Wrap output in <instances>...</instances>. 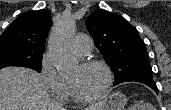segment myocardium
I'll return each mask as SVG.
<instances>
[{"label": "myocardium", "instance_id": "myocardium-1", "mask_svg": "<svg viewBox=\"0 0 171 110\" xmlns=\"http://www.w3.org/2000/svg\"><path fill=\"white\" fill-rule=\"evenodd\" d=\"M80 67L83 69L90 68V67H100L105 72L106 83L102 91L98 93L97 95L91 96V97H82L77 94L71 82L68 81L69 95L72 98V100L80 104H90V103L99 101L102 98H104L109 92L113 83V72L110 66L101 60H86L80 64Z\"/></svg>", "mask_w": 171, "mask_h": 110}]
</instances>
